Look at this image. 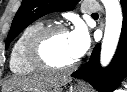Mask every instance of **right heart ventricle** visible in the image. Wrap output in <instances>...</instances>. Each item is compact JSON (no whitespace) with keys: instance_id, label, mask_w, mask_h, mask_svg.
Listing matches in <instances>:
<instances>
[{"instance_id":"1","label":"right heart ventricle","mask_w":127,"mask_h":92,"mask_svg":"<svg viewBox=\"0 0 127 92\" xmlns=\"http://www.w3.org/2000/svg\"><path fill=\"white\" fill-rule=\"evenodd\" d=\"M45 21H36L28 25L15 41L11 53L9 67L17 75H30L38 70L34 68L27 59V46L31 37L41 28L46 26Z\"/></svg>"}]
</instances>
